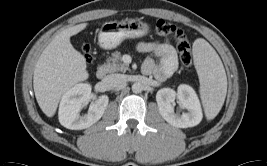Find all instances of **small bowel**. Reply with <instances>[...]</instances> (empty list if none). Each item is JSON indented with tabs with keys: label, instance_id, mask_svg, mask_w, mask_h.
Returning <instances> with one entry per match:
<instances>
[{
	"label": "small bowel",
	"instance_id": "obj_1",
	"mask_svg": "<svg viewBox=\"0 0 267 166\" xmlns=\"http://www.w3.org/2000/svg\"><path fill=\"white\" fill-rule=\"evenodd\" d=\"M137 49L142 53L153 55L144 61L142 71L145 74H152L158 81L167 80L177 69V52L169 40L140 42L137 44ZM155 58L159 61L157 62Z\"/></svg>",
	"mask_w": 267,
	"mask_h": 166
}]
</instances>
